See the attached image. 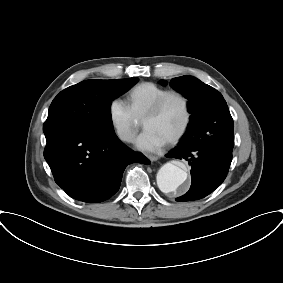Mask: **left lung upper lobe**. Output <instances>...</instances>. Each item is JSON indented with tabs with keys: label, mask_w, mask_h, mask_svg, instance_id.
I'll use <instances>...</instances> for the list:
<instances>
[{
	"label": "left lung upper lobe",
	"mask_w": 283,
	"mask_h": 283,
	"mask_svg": "<svg viewBox=\"0 0 283 283\" xmlns=\"http://www.w3.org/2000/svg\"><path fill=\"white\" fill-rule=\"evenodd\" d=\"M160 84H166L161 80ZM170 85L188 101V127L202 126V139L212 147L233 150V119L222 94L193 76L173 78Z\"/></svg>",
	"instance_id": "left-lung-upper-lobe-1"
}]
</instances>
